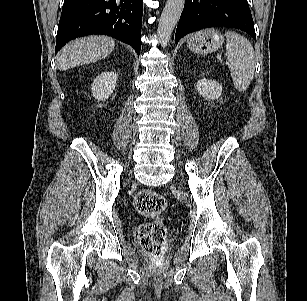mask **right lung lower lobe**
<instances>
[{
  "label": "right lung lower lobe",
  "mask_w": 307,
  "mask_h": 301,
  "mask_svg": "<svg viewBox=\"0 0 307 301\" xmlns=\"http://www.w3.org/2000/svg\"><path fill=\"white\" fill-rule=\"evenodd\" d=\"M142 0H64L55 53L70 40L105 34L131 45L139 55Z\"/></svg>",
  "instance_id": "obj_1"
}]
</instances>
